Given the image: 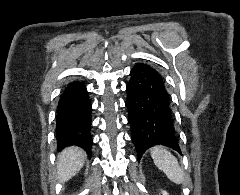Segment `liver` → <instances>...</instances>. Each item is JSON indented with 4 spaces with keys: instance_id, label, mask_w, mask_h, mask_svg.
Segmentation results:
<instances>
[{
    "instance_id": "1",
    "label": "liver",
    "mask_w": 240,
    "mask_h": 195,
    "mask_svg": "<svg viewBox=\"0 0 240 195\" xmlns=\"http://www.w3.org/2000/svg\"><path fill=\"white\" fill-rule=\"evenodd\" d=\"M58 179L61 181H68L73 175L78 173L79 169L83 167V163L86 159V153L81 147H66L58 155Z\"/></svg>"
}]
</instances>
